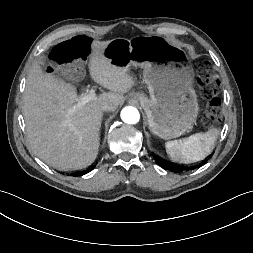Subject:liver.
Wrapping results in <instances>:
<instances>
[{
    "instance_id": "6515ba94",
    "label": "liver",
    "mask_w": 253,
    "mask_h": 253,
    "mask_svg": "<svg viewBox=\"0 0 253 253\" xmlns=\"http://www.w3.org/2000/svg\"><path fill=\"white\" fill-rule=\"evenodd\" d=\"M110 41H92L89 73L94 82L110 92L81 104L76 87L50 73L39 63L31 68L23 98L28 142L34 154L58 170L82 169L96 159L103 117L101 104L117 109L123 94L135 86L127 69L113 64L105 49Z\"/></svg>"
}]
</instances>
